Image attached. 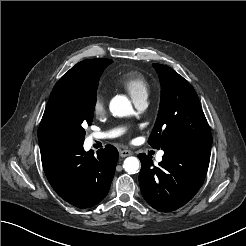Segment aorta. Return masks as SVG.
<instances>
[{
  "label": "aorta",
  "mask_w": 246,
  "mask_h": 246,
  "mask_svg": "<svg viewBox=\"0 0 246 246\" xmlns=\"http://www.w3.org/2000/svg\"><path fill=\"white\" fill-rule=\"evenodd\" d=\"M110 111L114 116L125 117L133 112L131 102L126 96H115L110 102ZM123 168L128 174H135L139 171L140 162L136 157H127L124 160Z\"/></svg>",
  "instance_id": "aorta-1"
}]
</instances>
